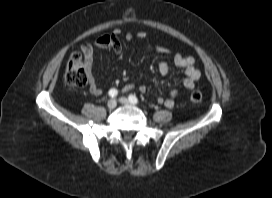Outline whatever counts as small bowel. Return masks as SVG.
<instances>
[{"label": "small bowel", "mask_w": 272, "mask_h": 198, "mask_svg": "<svg viewBox=\"0 0 272 198\" xmlns=\"http://www.w3.org/2000/svg\"><path fill=\"white\" fill-rule=\"evenodd\" d=\"M122 31L119 28L114 29L109 34H104L96 38L92 42H86L81 45V50L86 59V71L88 76L89 90L93 95L99 96L102 94V88L97 84L92 73L94 50L96 48L107 49L112 51L117 55V60L121 61L123 59L122 45L119 41V36ZM147 33L145 31H139L135 35L132 33L126 34V39L131 40L133 37L145 38ZM164 52H168L167 49H162ZM194 58L191 56H183L182 54H175L172 63L162 61L158 64V71L162 75H167L173 67L181 68L184 70L185 77L182 81V86L186 89H192L195 86V82L201 77V72L194 66ZM134 88V84H126L123 88L124 91H130ZM147 88L144 85L139 86V91L144 93ZM179 89H172L167 98L159 97L157 102L166 106L167 108H172L174 106V99L178 95Z\"/></svg>", "instance_id": "obj_1"}]
</instances>
